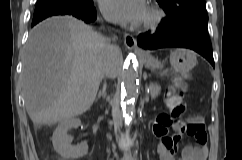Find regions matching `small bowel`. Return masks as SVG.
Listing matches in <instances>:
<instances>
[{"instance_id": "obj_1", "label": "small bowel", "mask_w": 242, "mask_h": 160, "mask_svg": "<svg viewBox=\"0 0 242 160\" xmlns=\"http://www.w3.org/2000/svg\"><path fill=\"white\" fill-rule=\"evenodd\" d=\"M199 124L204 126L200 117H191L187 120V122L177 119L171 122L170 124L173 129L172 134H169L168 131L164 133L154 132L159 139L157 151L159 153L160 160H206L207 137L205 141H200L197 139V136L195 135L190 136H192L195 139L197 145L185 146L182 149L181 157L177 158L176 156L178 145L183 134L185 132L187 133L190 128H194Z\"/></svg>"}]
</instances>
